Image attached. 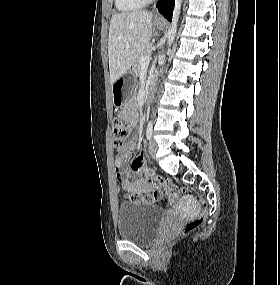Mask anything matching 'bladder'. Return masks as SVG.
Masks as SVG:
<instances>
[{"mask_svg": "<svg viewBox=\"0 0 280 285\" xmlns=\"http://www.w3.org/2000/svg\"><path fill=\"white\" fill-rule=\"evenodd\" d=\"M164 211L147 203L123 202L117 214L118 236L138 243H150L158 235Z\"/></svg>", "mask_w": 280, "mask_h": 285, "instance_id": "bladder-1", "label": "bladder"}]
</instances>
